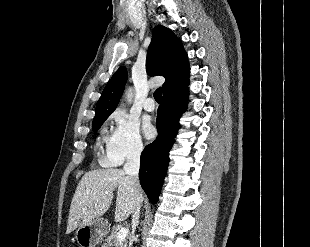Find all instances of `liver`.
I'll list each match as a JSON object with an SVG mask.
<instances>
[{
  "label": "liver",
  "instance_id": "1",
  "mask_svg": "<svg viewBox=\"0 0 310 247\" xmlns=\"http://www.w3.org/2000/svg\"><path fill=\"white\" fill-rule=\"evenodd\" d=\"M131 183V177L122 169H96L85 173L71 201L66 232L104 215L110 208L116 188L115 221L126 220L143 201L142 189L139 186L133 190Z\"/></svg>",
  "mask_w": 310,
  "mask_h": 247
}]
</instances>
